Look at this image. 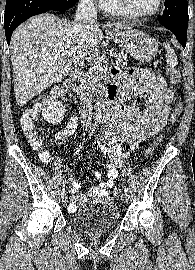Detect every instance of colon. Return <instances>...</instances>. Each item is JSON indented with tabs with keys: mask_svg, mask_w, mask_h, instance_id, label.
Instances as JSON below:
<instances>
[{
	"mask_svg": "<svg viewBox=\"0 0 195 270\" xmlns=\"http://www.w3.org/2000/svg\"><path fill=\"white\" fill-rule=\"evenodd\" d=\"M167 75L172 85H178L180 83L181 74L178 69L168 68ZM64 94H65L64 89L59 88L55 90V92L53 93V97L62 98ZM181 111H182V105H181V102L179 101L177 102L171 114L170 124H175L178 121L181 115ZM37 119H38L37 112L36 110H33V109L26 111L21 119L22 129L24 133L26 134L27 138L29 139V142L35 147H39L41 145V138L37 130ZM161 140H162V136H159L154 141L153 145L147 150L146 156H149L153 152V150L157 147V145L161 142ZM43 157L47 158V155L43 154ZM119 195H120V189L115 188L113 191V196L115 198H118Z\"/></svg>",
	"mask_w": 195,
	"mask_h": 270,
	"instance_id": "colon-1",
	"label": "colon"
}]
</instances>
